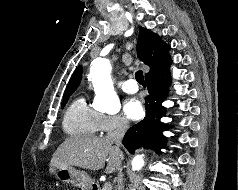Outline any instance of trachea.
Returning a JSON list of instances; mask_svg holds the SVG:
<instances>
[{
  "label": "trachea",
  "mask_w": 238,
  "mask_h": 190,
  "mask_svg": "<svg viewBox=\"0 0 238 190\" xmlns=\"http://www.w3.org/2000/svg\"><path fill=\"white\" fill-rule=\"evenodd\" d=\"M135 78L139 84H141L142 86H145L144 76H143V72L141 70H138L135 73Z\"/></svg>",
  "instance_id": "obj_1"
}]
</instances>
